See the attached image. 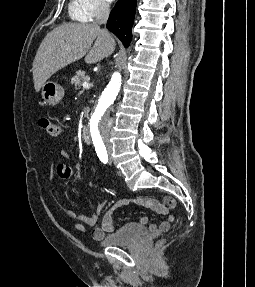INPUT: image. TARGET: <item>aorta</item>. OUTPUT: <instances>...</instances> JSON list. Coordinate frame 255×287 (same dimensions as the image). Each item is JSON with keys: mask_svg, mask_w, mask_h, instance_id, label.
I'll use <instances>...</instances> for the list:
<instances>
[{"mask_svg": "<svg viewBox=\"0 0 255 287\" xmlns=\"http://www.w3.org/2000/svg\"><path fill=\"white\" fill-rule=\"evenodd\" d=\"M121 86V75L115 72L112 75L110 82L101 94L99 103L92 114L89 122V130L92 141L95 145L102 143V131L104 127L105 115L108 108L116 99Z\"/></svg>", "mask_w": 255, "mask_h": 287, "instance_id": "1", "label": "aorta"}]
</instances>
